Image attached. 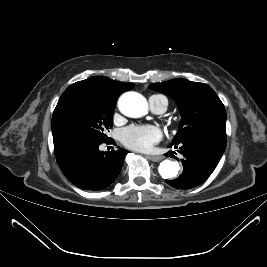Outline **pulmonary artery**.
I'll list each match as a JSON object with an SVG mask.
<instances>
[{"instance_id": "e3ab8cb5", "label": "pulmonary artery", "mask_w": 267, "mask_h": 267, "mask_svg": "<svg viewBox=\"0 0 267 267\" xmlns=\"http://www.w3.org/2000/svg\"><path fill=\"white\" fill-rule=\"evenodd\" d=\"M167 98L163 95H153L149 98V105L153 112L161 114L166 111Z\"/></svg>"}]
</instances>
